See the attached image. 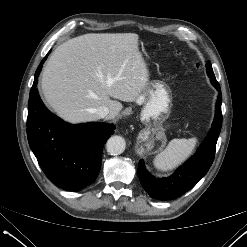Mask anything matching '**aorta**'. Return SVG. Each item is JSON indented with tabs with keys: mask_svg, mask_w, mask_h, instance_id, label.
I'll list each match as a JSON object with an SVG mask.
<instances>
[{
	"mask_svg": "<svg viewBox=\"0 0 247 247\" xmlns=\"http://www.w3.org/2000/svg\"><path fill=\"white\" fill-rule=\"evenodd\" d=\"M125 147L126 142L121 136H112L108 139L106 143V149L110 155H119L123 153Z\"/></svg>",
	"mask_w": 247,
	"mask_h": 247,
	"instance_id": "aorta-1",
	"label": "aorta"
}]
</instances>
